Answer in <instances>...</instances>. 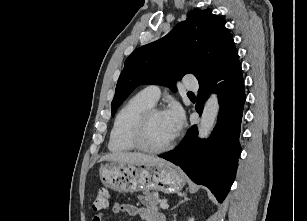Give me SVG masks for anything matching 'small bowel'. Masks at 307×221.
I'll list each match as a JSON object with an SVG mask.
<instances>
[{"mask_svg": "<svg viewBox=\"0 0 307 221\" xmlns=\"http://www.w3.org/2000/svg\"><path fill=\"white\" fill-rule=\"evenodd\" d=\"M110 214L125 213L129 216L139 215L144 221H165V217L156 209L138 208L128 203H117L110 210ZM103 213L95 215L92 221H103Z\"/></svg>", "mask_w": 307, "mask_h": 221, "instance_id": "small-bowel-1", "label": "small bowel"}]
</instances>
